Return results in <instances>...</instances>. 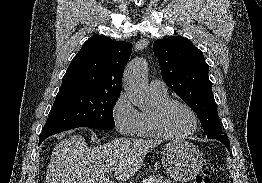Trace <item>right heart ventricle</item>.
<instances>
[{
  "label": "right heart ventricle",
  "mask_w": 262,
  "mask_h": 183,
  "mask_svg": "<svg viewBox=\"0 0 262 183\" xmlns=\"http://www.w3.org/2000/svg\"><path fill=\"white\" fill-rule=\"evenodd\" d=\"M151 98L154 104V108L159 105L160 103L164 102L168 99V95L166 94H151ZM151 112L150 111H142L139 113V122L138 127L136 130V135L139 137H146V138H152V137H158L151 125Z\"/></svg>",
  "instance_id": "right-heart-ventricle-1"
}]
</instances>
